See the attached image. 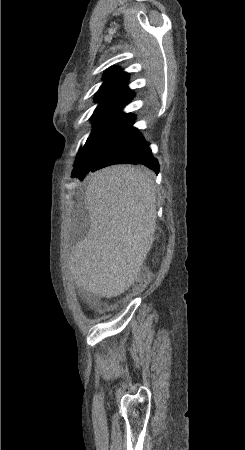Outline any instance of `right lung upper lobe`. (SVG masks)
Instances as JSON below:
<instances>
[{
  "instance_id": "1",
  "label": "right lung upper lobe",
  "mask_w": 245,
  "mask_h": 450,
  "mask_svg": "<svg viewBox=\"0 0 245 450\" xmlns=\"http://www.w3.org/2000/svg\"><path fill=\"white\" fill-rule=\"evenodd\" d=\"M128 78V73L115 67L107 71L95 97V101L99 102L97 109L124 108L134 97V92L127 86Z\"/></svg>"
}]
</instances>
